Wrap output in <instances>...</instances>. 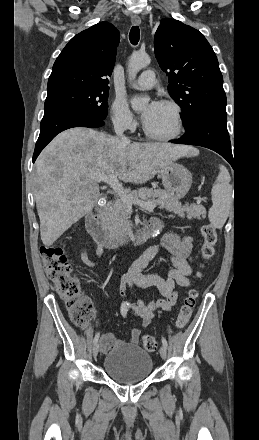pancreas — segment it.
<instances>
[{
  "mask_svg": "<svg viewBox=\"0 0 259 440\" xmlns=\"http://www.w3.org/2000/svg\"><path fill=\"white\" fill-rule=\"evenodd\" d=\"M129 194L135 199L140 198L141 201L148 200V202H154L158 205L159 209H166L182 218L200 219L201 216L204 217L206 214L204 206L199 203L182 205L177 198L162 189L141 188ZM129 207L127 203L120 199L115 201L108 210L105 228L109 231L110 235L119 237L127 234L129 224L131 223L128 216Z\"/></svg>",
  "mask_w": 259,
  "mask_h": 440,
  "instance_id": "1",
  "label": "pancreas"
}]
</instances>
